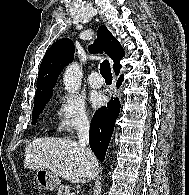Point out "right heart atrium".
Returning a JSON list of instances; mask_svg holds the SVG:
<instances>
[{"label":"right heart atrium","instance_id":"obj_1","mask_svg":"<svg viewBox=\"0 0 189 195\" xmlns=\"http://www.w3.org/2000/svg\"><path fill=\"white\" fill-rule=\"evenodd\" d=\"M57 130L60 133H73L89 125L90 116L82 98L71 94L57 97Z\"/></svg>","mask_w":189,"mask_h":195}]
</instances>
